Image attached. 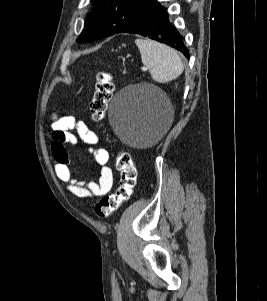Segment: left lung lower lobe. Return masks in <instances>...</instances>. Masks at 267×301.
<instances>
[{"label":"left lung lower lobe","mask_w":267,"mask_h":301,"mask_svg":"<svg viewBox=\"0 0 267 301\" xmlns=\"http://www.w3.org/2000/svg\"><path fill=\"white\" fill-rule=\"evenodd\" d=\"M120 32L149 37L150 39L167 44L178 51H181L187 58L190 57L182 35L170 23L165 7L160 4L144 18L136 23L128 25Z\"/></svg>","instance_id":"0a47b994"}]
</instances>
